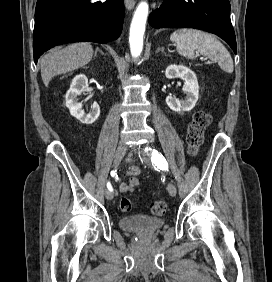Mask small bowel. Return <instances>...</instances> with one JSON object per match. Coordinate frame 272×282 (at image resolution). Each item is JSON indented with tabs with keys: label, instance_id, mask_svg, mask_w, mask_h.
<instances>
[{
	"label": "small bowel",
	"instance_id": "1",
	"mask_svg": "<svg viewBox=\"0 0 272 282\" xmlns=\"http://www.w3.org/2000/svg\"><path fill=\"white\" fill-rule=\"evenodd\" d=\"M140 173V169L138 168V167H136V166H134V167H131L130 169H129V172H128V175H138ZM138 186V184L136 185V186H132V185H127V184H125V183H122L121 185H120V191L121 192H131V191H133L134 190V188H136Z\"/></svg>",
	"mask_w": 272,
	"mask_h": 282
}]
</instances>
